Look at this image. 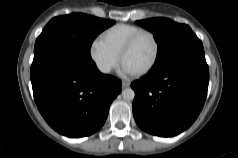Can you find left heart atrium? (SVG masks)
Returning a JSON list of instances; mask_svg holds the SVG:
<instances>
[{
  "mask_svg": "<svg viewBox=\"0 0 238 158\" xmlns=\"http://www.w3.org/2000/svg\"><path fill=\"white\" fill-rule=\"evenodd\" d=\"M122 70L126 73V74H134L136 73L134 70H132L130 67H128L127 65H125L123 63L122 65Z\"/></svg>",
  "mask_w": 238,
  "mask_h": 158,
  "instance_id": "left-heart-atrium-1",
  "label": "left heart atrium"
}]
</instances>
